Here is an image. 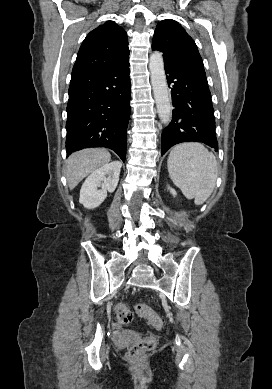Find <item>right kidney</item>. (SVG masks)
I'll return each instance as SVG.
<instances>
[{
	"mask_svg": "<svg viewBox=\"0 0 272 389\" xmlns=\"http://www.w3.org/2000/svg\"><path fill=\"white\" fill-rule=\"evenodd\" d=\"M121 167L119 161H113L92 172L81 187L79 202L87 209L98 207L106 199L107 192L116 189Z\"/></svg>",
	"mask_w": 272,
	"mask_h": 389,
	"instance_id": "right-kidney-1",
	"label": "right kidney"
}]
</instances>
